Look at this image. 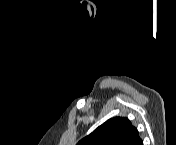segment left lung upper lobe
Listing matches in <instances>:
<instances>
[{
    "instance_id": "5c2ea615",
    "label": "left lung upper lobe",
    "mask_w": 176,
    "mask_h": 145,
    "mask_svg": "<svg viewBox=\"0 0 176 145\" xmlns=\"http://www.w3.org/2000/svg\"><path fill=\"white\" fill-rule=\"evenodd\" d=\"M78 145H143V141L128 118L115 117L79 141Z\"/></svg>"
}]
</instances>
